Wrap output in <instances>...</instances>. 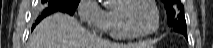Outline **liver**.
I'll list each match as a JSON object with an SVG mask.
<instances>
[{
    "label": "liver",
    "mask_w": 213,
    "mask_h": 48,
    "mask_svg": "<svg viewBox=\"0 0 213 48\" xmlns=\"http://www.w3.org/2000/svg\"><path fill=\"white\" fill-rule=\"evenodd\" d=\"M148 42L122 44L101 39L85 29L76 18L53 14L33 30L28 48H148Z\"/></svg>",
    "instance_id": "1"
}]
</instances>
